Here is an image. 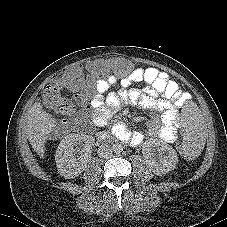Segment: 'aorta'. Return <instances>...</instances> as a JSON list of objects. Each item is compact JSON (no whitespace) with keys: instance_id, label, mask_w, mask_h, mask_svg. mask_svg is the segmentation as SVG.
<instances>
[{"instance_id":"762f6f07","label":"aorta","mask_w":227,"mask_h":227,"mask_svg":"<svg viewBox=\"0 0 227 227\" xmlns=\"http://www.w3.org/2000/svg\"><path fill=\"white\" fill-rule=\"evenodd\" d=\"M122 150H123V147H122V145L121 144H114L113 145V151L115 152V153H121L122 152Z\"/></svg>"}]
</instances>
